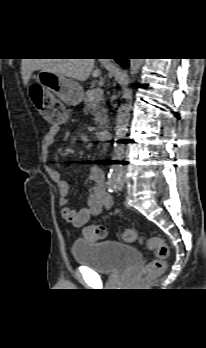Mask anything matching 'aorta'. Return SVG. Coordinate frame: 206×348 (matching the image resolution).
I'll list each match as a JSON object with an SVG mask.
<instances>
[{
	"label": "aorta",
	"instance_id": "obj_1",
	"mask_svg": "<svg viewBox=\"0 0 206 348\" xmlns=\"http://www.w3.org/2000/svg\"><path fill=\"white\" fill-rule=\"evenodd\" d=\"M144 59H130L129 62V70L131 76H135L141 66L143 65ZM133 79L127 80V85L131 83ZM132 96V90L128 89L124 92L123 98L129 99ZM129 118H130V107L127 104H123L119 107L117 118H116V133H115V143H114V152L117 155H121L124 151V145L121 142H118V140H122L125 138L127 134V127L129 124Z\"/></svg>",
	"mask_w": 206,
	"mask_h": 348
}]
</instances>
